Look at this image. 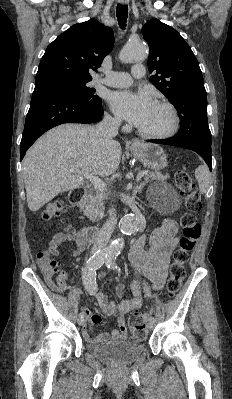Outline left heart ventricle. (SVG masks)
Returning <instances> with one entry per match:
<instances>
[{
  "instance_id": "obj_1",
  "label": "left heart ventricle",
  "mask_w": 232,
  "mask_h": 399,
  "mask_svg": "<svg viewBox=\"0 0 232 399\" xmlns=\"http://www.w3.org/2000/svg\"><path fill=\"white\" fill-rule=\"evenodd\" d=\"M171 122V114L166 107L152 104L150 112L136 128L145 134L158 135L166 132L170 128Z\"/></svg>"
}]
</instances>
